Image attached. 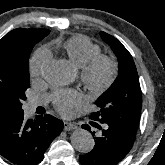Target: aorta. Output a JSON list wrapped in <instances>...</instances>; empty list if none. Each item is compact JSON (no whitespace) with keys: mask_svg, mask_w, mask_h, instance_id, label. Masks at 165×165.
<instances>
[{"mask_svg":"<svg viewBox=\"0 0 165 165\" xmlns=\"http://www.w3.org/2000/svg\"><path fill=\"white\" fill-rule=\"evenodd\" d=\"M43 75L52 84H64L67 81L66 65L59 60L52 61L45 66ZM70 139L72 146L81 153L91 151L95 144L91 133L81 128L74 130Z\"/></svg>","mask_w":165,"mask_h":165,"instance_id":"aorta-1","label":"aorta"}]
</instances>
